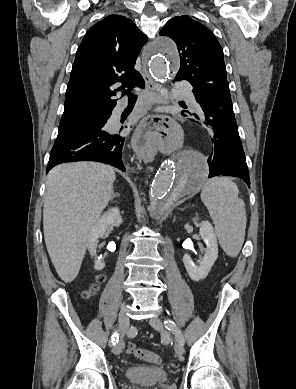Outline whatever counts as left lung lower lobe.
<instances>
[{
    "label": "left lung lower lobe",
    "mask_w": 296,
    "mask_h": 389,
    "mask_svg": "<svg viewBox=\"0 0 296 389\" xmlns=\"http://www.w3.org/2000/svg\"><path fill=\"white\" fill-rule=\"evenodd\" d=\"M192 86L196 101L205 114L202 121L213 132L212 152L208 158L209 177L235 176L243 179L250 187L249 171L233 112L229 84L194 83ZM194 116L199 119L197 115Z\"/></svg>",
    "instance_id": "obj_1"
}]
</instances>
